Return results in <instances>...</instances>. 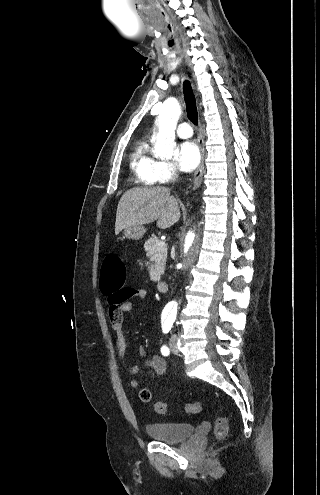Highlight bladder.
<instances>
[{"mask_svg":"<svg viewBox=\"0 0 320 495\" xmlns=\"http://www.w3.org/2000/svg\"><path fill=\"white\" fill-rule=\"evenodd\" d=\"M146 430L156 440L177 443L190 437L195 426L188 422H155L148 424Z\"/></svg>","mask_w":320,"mask_h":495,"instance_id":"31cf9c89","label":"bladder"}]
</instances>
